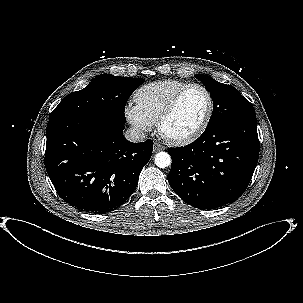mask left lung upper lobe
Here are the masks:
<instances>
[{"label": "left lung upper lobe", "instance_id": "obj_1", "mask_svg": "<svg viewBox=\"0 0 303 303\" xmlns=\"http://www.w3.org/2000/svg\"><path fill=\"white\" fill-rule=\"evenodd\" d=\"M195 77L203 83L213 100V112L206 129L232 120L256 116L252 104L233 86L203 74Z\"/></svg>", "mask_w": 303, "mask_h": 303}]
</instances>
